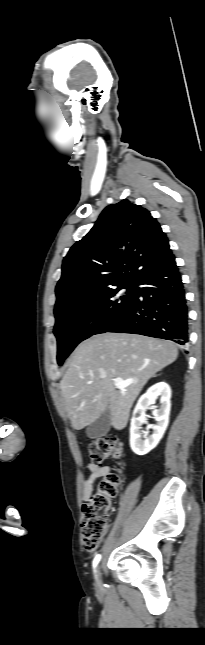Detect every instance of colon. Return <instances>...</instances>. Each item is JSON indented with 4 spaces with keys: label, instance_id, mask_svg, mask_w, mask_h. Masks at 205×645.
<instances>
[{
    "label": "colon",
    "instance_id": "5ec220e1",
    "mask_svg": "<svg viewBox=\"0 0 205 645\" xmlns=\"http://www.w3.org/2000/svg\"><path fill=\"white\" fill-rule=\"evenodd\" d=\"M88 453L93 464L102 465L111 456L120 458L122 447L113 438H100L89 444ZM120 482L119 469L107 474L98 484L96 491L82 505L81 533L83 544L88 551H95L104 537Z\"/></svg>",
    "mask_w": 205,
    "mask_h": 645
}]
</instances>
